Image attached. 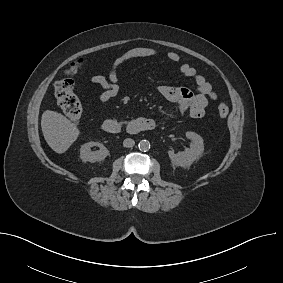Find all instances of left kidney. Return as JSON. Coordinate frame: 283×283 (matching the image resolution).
<instances>
[{
	"label": "left kidney",
	"instance_id": "left-kidney-1",
	"mask_svg": "<svg viewBox=\"0 0 283 283\" xmlns=\"http://www.w3.org/2000/svg\"><path fill=\"white\" fill-rule=\"evenodd\" d=\"M186 137L191 140L190 148L177 154L171 150L168 152L171 162L183 168H188L204 151L203 138L200 135L195 132L187 131Z\"/></svg>",
	"mask_w": 283,
	"mask_h": 283
}]
</instances>
